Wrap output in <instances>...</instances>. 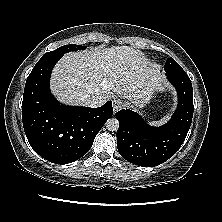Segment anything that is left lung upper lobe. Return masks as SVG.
Returning <instances> with one entry per match:
<instances>
[{"label": "left lung upper lobe", "mask_w": 222, "mask_h": 222, "mask_svg": "<svg viewBox=\"0 0 222 222\" xmlns=\"http://www.w3.org/2000/svg\"><path fill=\"white\" fill-rule=\"evenodd\" d=\"M165 72L169 73H182L185 72L182 67L173 59V58H168L165 67H164Z\"/></svg>", "instance_id": "obj_1"}]
</instances>
